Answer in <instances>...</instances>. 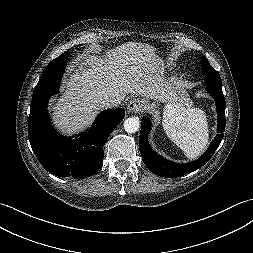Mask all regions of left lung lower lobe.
Returning a JSON list of instances; mask_svg holds the SVG:
<instances>
[{
	"label": "left lung lower lobe",
	"mask_w": 253,
	"mask_h": 253,
	"mask_svg": "<svg viewBox=\"0 0 253 253\" xmlns=\"http://www.w3.org/2000/svg\"><path fill=\"white\" fill-rule=\"evenodd\" d=\"M205 82L209 93L214 98L216 103L218 134L214 138L207 151L199 159L187 164H178L166 160L151 149L148 143V134L151 129V121L149 117L144 116L142 118V126L139 137V149L145 165L152 173L168 178L186 175L205 165L218 148L225 130V99L222 92V81L221 78H212L208 76L205 79Z\"/></svg>",
	"instance_id": "obj_1"
}]
</instances>
